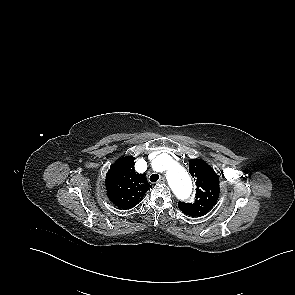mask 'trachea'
<instances>
[{
	"mask_svg": "<svg viewBox=\"0 0 295 295\" xmlns=\"http://www.w3.org/2000/svg\"><path fill=\"white\" fill-rule=\"evenodd\" d=\"M158 179H159V175L158 174H152L150 176V181L151 182H156V181H158Z\"/></svg>",
	"mask_w": 295,
	"mask_h": 295,
	"instance_id": "obj_1",
	"label": "trachea"
}]
</instances>
